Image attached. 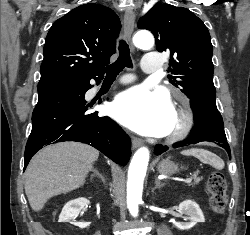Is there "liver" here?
Here are the masks:
<instances>
[{
    "label": "liver",
    "instance_id": "obj_1",
    "mask_svg": "<svg viewBox=\"0 0 250 235\" xmlns=\"http://www.w3.org/2000/svg\"><path fill=\"white\" fill-rule=\"evenodd\" d=\"M98 157V150L78 142L39 151L25 171L24 187L31 208L38 212L51 197L83 186Z\"/></svg>",
    "mask_w": 250,
    "mask_h": 235
}]
</instances>
